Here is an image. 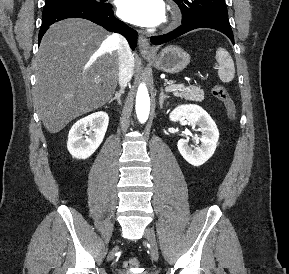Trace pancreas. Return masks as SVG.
<instances>
[{
    "label": "pancreas",
    "instance_id": "1",
    "mask_svg": "<svg viewBox=\"0 0 289 274\" xmlns=\"http://www.w3.org/2000/svg\"><path fill=\"white\" fill-rule=\"evenodd\" d=\"M168 86L175 87L176 90L172 91L175 96L184 98L190 101L200 102L204 100V91L199 86L186 87L181 84H175L173 81H167Z\"/></svg>",
    "mask_w": 289,
    "mask_h": 274
}]
</instances>
